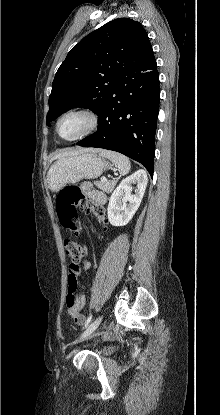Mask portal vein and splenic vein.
I'll use <instances>...</instances> for the list:
<instances>
[{
	"label": "portal vein and splenic vein",
	"mask_w": 220,
	"mask_h": 415,
	"mask_svg": "<svg viewBox=\"0 0 220 415\" xmlns=\"http://www.w3.org/2000/svg\"><path fill=\"white\" fill-rule=\"evenodd\" d=\"M106 180H107V179H106V177H104V176L101 178V181H106Z\"/></svg>",
	"instance_id": "1"
}]
</instances>
